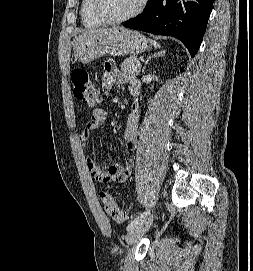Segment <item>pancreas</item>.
<instances>
[{
  "instance_id": "cf45deb5",
  "label": "pancreas",
  "mask_w": 253,
  "mask_h": 271,
  "mask_svg": "<svg viewBox=\"0 0 253 271\" xmlns=\"http://www.w3.org/2000/svg\"><path fill=\"white\" fill-rule=\"evenodd\" d=\"M137 58L135 55L130 56L129 58L125 59L120 67L121 69L128 74L131 75H138L140 73L141 67L140 65H136Z\"/></svg>"
}]
</instances>
